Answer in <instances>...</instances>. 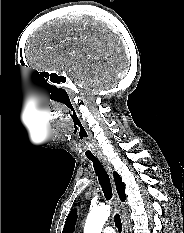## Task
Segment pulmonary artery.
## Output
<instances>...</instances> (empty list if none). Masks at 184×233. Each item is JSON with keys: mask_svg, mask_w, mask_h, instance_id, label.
Returning a JSON list of instances; mask_svg holds the SVG:
<instances>
[{"mask_svg": "<svg viewBox=\"0 0 184 233\" xmlns=\"http://www.w3.org/2000/svg\"><path fill=\"white\" fill-rule=\"evenodd\" d=\"M103 233H115V230L112 227H106L103 229Z\"/></svg>", "mask_w": 184, "mask_h": 233, "instance_id": "e3ab8cb5", "label": "pulmonary artery"}]
</instances>
